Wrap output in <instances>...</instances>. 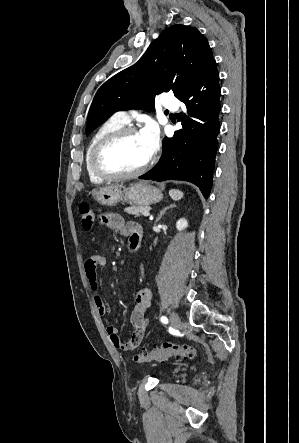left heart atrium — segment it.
I'll return each instance as SVG.
<instances>
[{
	"mask_svg": "<svg viewBox=\"0 0 299 443\" xmlns=\"http://www.w3.org/2000/svg\"><path fill=\"white\" fill-rule=\"evenodd\" d=\"M140 136L145 143L148 156L151 157L156 152L159 144V132L157 126L153 122H148L141 130Z\"/></svg>",
	"mask_w": 299,
	"mask_h": 443,
	"instance_id": "39dd6f15",
	"label": "left heart atrium"
}]
</instances>
